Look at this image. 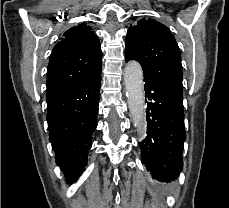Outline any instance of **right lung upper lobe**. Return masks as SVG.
Masks as SVG:
<instances>
[{
	"mask_svg": "<svg viewBox=\"0 0 229 208\" xmlns=\"http://www.w3.org/2000/svg\"><path fill=\"white\" fill-rule=\"evenodd\" d=\"M102 64L98 37L82 23L63 34L50 55L47 68V99L92 77Z\"/></svg>",
	"mask_w": 229,
	"mask_h": 208,
	"instance_id": "obj_1",
	"label": "right lung upper lobe"
}]
</instances>
